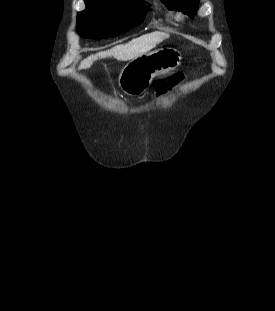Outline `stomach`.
<instances>
[{"label": "stomach", "instance_id": "1", "mask_svg": "<svg viewBox=\"0 0 275 311\" xmlns=\"http://www.w3.org/2000/svg\"><path fill=\"white\" fill-rule=\"evenodd\" d=\"M182 61L179 50L163 47L137 57L127 63L118 78L120 89L131 96L142 94L158 75L176 69Z\"/></svg>", "mask_w": 275, "mask_h": 311}]
</instances>
